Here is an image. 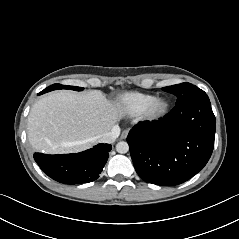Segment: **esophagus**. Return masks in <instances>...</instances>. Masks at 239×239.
Listing matches in <instances>:
<instances>
[{"mask_svg": "<svg viewBox=\"0 0 239 239\" xmlns=\"http://www.w3.org/2000/svg\"><path fill=\"white\" fill-rule=\"evenodd\" d=\"M129 133V130L128 129H125L124 131H122L121 133V139H125L127 137Z\"/></svg>", "mask_w": 239, "mask_h": 239, "instance_id": "obj_1", "label": "esophagus"}]
</instances>
